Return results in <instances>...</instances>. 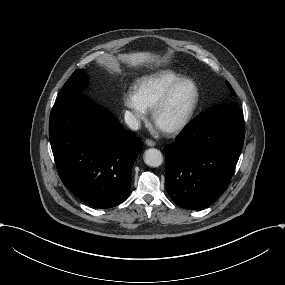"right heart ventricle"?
I'll list each match as a JSON object with an SVG mask.
<instances>
[{"label":"right heart ventricle","mask_w":285,"mask_h":285,"mask_svg":"<svg viewBox=\"0 0 285 285\" xmlns=\"http://www.w3.org/2000/svg\"><path fill=\"white\" fill-rule=\"evenodd\" d=\"M182 78L172 71H159L139 80L135 89L145 106L152 110L166 91Z\"/></svg>","instance_id":"e07e8e85"}]
</instances>
